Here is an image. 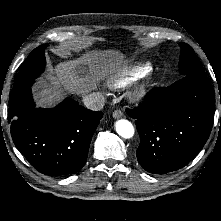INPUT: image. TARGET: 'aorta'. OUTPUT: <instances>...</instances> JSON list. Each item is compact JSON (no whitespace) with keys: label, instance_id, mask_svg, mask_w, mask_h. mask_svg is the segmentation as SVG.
Masks as SVG:
<instances>
[{"label":"aorta","instance_id":"1","mask_svg":"<svg viewBox=\"0 0 221 221\" xmlns=\"http://www.w3.org/2000/svg\"><path fill=\"white\" fill-rule=\"evenodd\" d=\"M116 132L123 138L129 139L134 135V127L132 123L126 119H120L115 123Z\"/></svg>","mask_w":221,"mask_h":221}]
</instances>
